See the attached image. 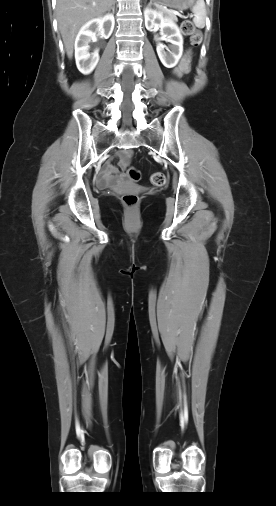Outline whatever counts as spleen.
Returning <instances> with one entry per match:
<instances>
[{"mask_svg": "<svg viewBox=\"0 0 276 506\" xmlns=\"http://www.w3.org/2000/svg\"><path fill=\"white\" fill-rule=\"evenodd\" d=\"M192 12L194 13L193 22L195 26L198 28H204L206 18V8L204 0H197L196 4L192 8Z\"/></svg>", "mask_w": 276, "mask_h": 506, "instance_id": "3e777b00", "label": "spleen"}]
</instances>
